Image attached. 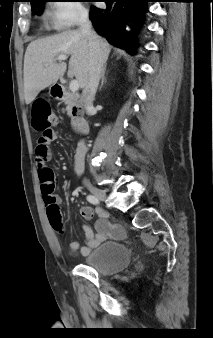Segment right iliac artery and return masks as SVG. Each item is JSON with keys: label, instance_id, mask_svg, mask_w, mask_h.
Segmentation results:
<instances>
[{"label": "right iliac artery", "instance_id": "obj_1", "mask_svg": "<svg viewBox=\"0 0 213 338\" xmlns=\"http://www.w3.org/2000/svg\"><path fill=\"white\" fill-rule=\"evenodd\" d=\"M87 200L92 204H99V199L93 195H88Z\"/></svg>", "mask_w": 213, "mask_h": 338}]
</instances>
